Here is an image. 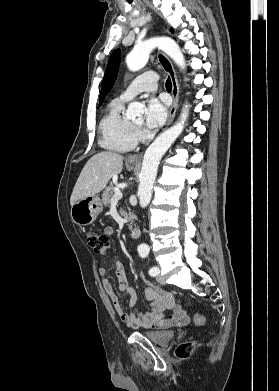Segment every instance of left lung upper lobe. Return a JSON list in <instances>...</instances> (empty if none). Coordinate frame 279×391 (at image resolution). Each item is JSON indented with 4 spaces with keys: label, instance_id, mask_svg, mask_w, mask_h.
Masks as SVG:
<instances>
[{
    "label": "left lung upper lobe",
    "instance_id": "left-lung-upper-lobe-1",
    "mask_svg": "<svg viewBox=\"0 0 279 391\" xmlns=\"http://www.w3.org/2000/svg\"><path fill=\"white\" fill-rule=\"evenodd\" d=\"M173 32V30L171 29ZM120 55L121 52L119 49L115 50L108 62L107 69L102 81V88H101V94H100V102L104 99V97L108 94L110 89L112 88L119 69L120 65Z\"/></svg>",
    "mask_w": 279,
    "mask_h": 391
}]
</instances>
